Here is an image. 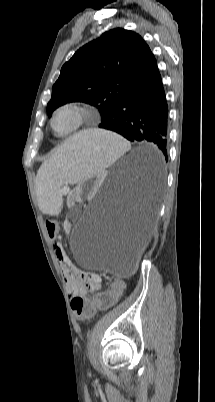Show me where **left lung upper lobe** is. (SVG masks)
<instances>
[{
  "label": "left lung upper lobe",
  "instance_id": "left-lung-upper-lobe-1",
  "mask_svg": "<svg viewBox=\"0 0 215 402\" xmlns=\"http://www.w3.org/2000/svg\"><path fill=\"white\" fill-rule=\"evenodd\" d=\"M156 64L139 34L120 28L105 32L63 65L53 85L47 114L68 102L80 101L97 107L104 122Z\"/></svg>",
  "mask_w": 215,
  "mask_h": 402
}]
</instances>
